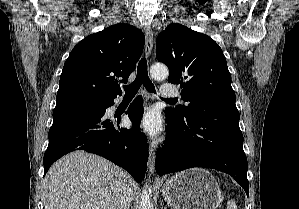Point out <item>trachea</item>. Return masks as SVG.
Segmentation results:
<instances>
[{
    "label": "trachea",
    "mask_w": 299,
    "mask_h": 209,
    "mask_svg": "<svg viewBox=\"0 0 299 209\" xmlns=\"http://www.w3.org/2000/svg\"><path fill=\"white\" fill-rule=\"evenodd\" d=\"M141 85H143L147 91L156 93L155 87L148 76L147 61L145 58L141 59L137 67V76L135 80L127 86H124L125 96H135ZM166 101H176V99H164Z\"/></svg>",
    "instance_id": "obj_1"
}]
</instances>
